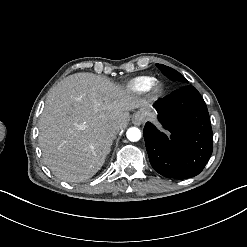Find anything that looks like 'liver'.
I'll list each match as a JSON object with an SVG mask.
<instances>
[{
  "label": "liver",
  "instance_id": "1",
  "mask_svg": "<svg viewBox=\"0 0 247 247\" xmlns=\"http://www.w3.org/2000/svg\"><path fill=\"white\" fill-rule=\"evenodd\" d=\"M146 104L107 77L69 75L48 95L38 122L44 163L67 182L91 178L111 150L108 129H125L129 111Z\"/></svg>",
  "mask_w": 247,
  "mask_h": 247
}]
</instances>
